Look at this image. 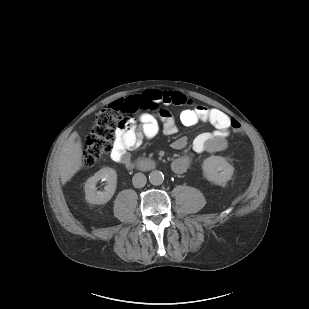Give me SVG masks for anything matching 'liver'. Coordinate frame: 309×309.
<instances>
[{
  "label": "liver",
  "mask_w": 309,
  "mask_h": 309,
  "mask_svg": "<svg viewBox=\"0 0 309 309\" xmlns=\"http://www.w3.org/2000/svg\"><path fill=\"white\" fill-rule=\"evenodd\" d=\"M81 138L73 132L64 146L58 160L61 183L66 184L83 165Z\"/></svg>",
  "instance_id": "liver-1"
}]
</instances>
